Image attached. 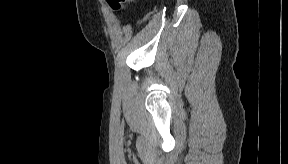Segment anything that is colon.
<instances>
[{
  "instance_id": "5ec220e1",
  "label": "colon",
  "mask_w": 288,
  "mask_h": 164,
  "mask_svg": "<svg viewBox=\"0 0 288 164\" xmlns=\"http://www.w3.org/2000/svg\"><path fill=\"white\" fill-rule=\"evenodd\" d=\"M109 5L115 10H121L124 8L125 0H109Z\"/></svg>"
}]
</instances>
